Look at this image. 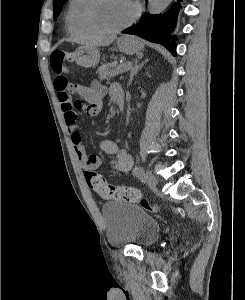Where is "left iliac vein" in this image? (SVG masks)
Wrapping results in <instances>:
<instances>
[{"label": "left iliac vein", "instance_id": "obj_1", "mask_svg": "<svg viewBox=\"0 0 245 300\" xmlns=\"http://www.w3.org/2000/svg\"><path fill=\"white\" fill-rule=\"evenodd\" d=\"M144 177H145V181L148 184V186L151 189H155L156 185H157L156 177L150 171H146Z\"/></svg>", "mask_w": 245, "mask_h": 300}]
</instances>
